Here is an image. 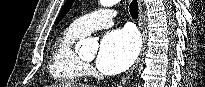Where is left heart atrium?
Segmentation results:
<instances>
[{"instance_id": "39dd6f15", "label": "left heart atrium", "mask_w": 205, "mask_h": 87, "mask_svg": "<svg viewBox=\"0 0 205 87\" xmlns=\"http://www.w3.org/2000/svg\"><path fill=\"white\" fill-rule=\"evenodd\" d=\"M139 48L140 40L134 30H113L101 41L96 60L97 68L106 74L122 72L135 61Z\"/></svg>"}]
</instances>
